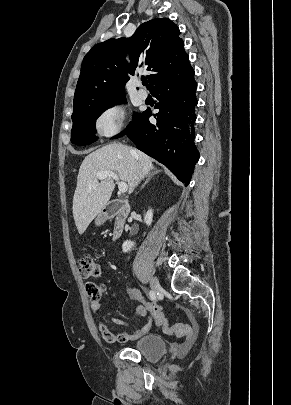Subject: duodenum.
Segmentation results:
<instances>
[{"mask_svg": "<svg viewBox=\"0 0 291 405\" xmlns=\"http://www.w3.org/2000/svg\"><path fill=\"white\" fill-rule=\"evenodd\" d=\"M130 212L127 201L118 199L110 201L104 209L105 216L114 220L112 237L114 240L123 234L126 220Z\"/></svg>", "mask_w": 291, "mask_h": 405, "instance_id": "410a0bca", "label": "duodenum"}]
</instances>
